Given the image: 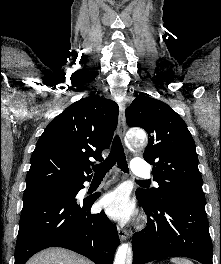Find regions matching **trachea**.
<instances>
[{"label":"trachea","instance_id":"3493384b","mask_svg":"<svg viewBox=\"0 0 221 264\" xmlns=\"http://www.w3.org/2000/svg\"><path fill=\"white\" fill-rule=\"evenodd\" d=\"M115 163H117L118 167L123 172H129L124 149L118 135L114 137L111 152L108 157L102 163L93 167L95 176L105 175L115 165ZM139 182L145 184L148 183V181L145 180H139Z\"/></svg>","mask_w":221,"mask_h":264}]
</instances>
